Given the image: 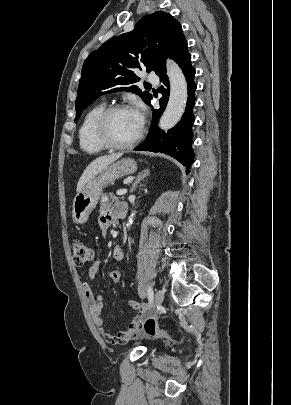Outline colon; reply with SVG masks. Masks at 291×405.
<instances>
[{"label":"colon","mask_w":291,"mask_h":405,"mask_svg":"<svg viewBox=\"0 0 291 405\" xmlns=\"http://www.w3.org/2000/svg\"><path fill=\"white\" fill-rule=\"evenodd\" d=\"M71 249L73 263L76 267H82L91 262L94 258L93 247L82 240L73 241L71 244ZM109 277L114 284H119L122 281V273L120 270L110 271ZM143 329L152 337L170 339L168 330L159 327L154 318H148L143 324Z\"/></svg>","instance_id":"colon-1"}]
</instances>
